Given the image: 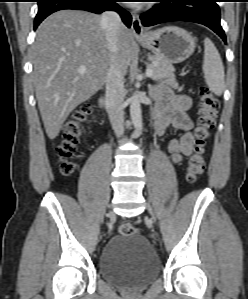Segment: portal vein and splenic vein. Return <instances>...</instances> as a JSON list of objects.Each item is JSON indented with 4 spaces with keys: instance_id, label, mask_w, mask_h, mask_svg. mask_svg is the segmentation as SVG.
I'll return each instance as SVG.
<instances>
[{
    "instance_id": "portal-vein-and-splenic-vein-1",
    "label": "portal vein and splenic vein",
    "mask_w": 248,
    "mask_h": 299,
    "mask_svg": "<svg viewBox=\"0 0 248 299\" xmlns=\"http://www.w3.org/2000/svg\"><path fill=\"white\" fill-rule=\"evenodd\" d=\"M79 71L81 73H83L85 71V67L82 66ZM152 75H153V70L150 67H148L147 70H146V76L151 77Z\"/></svg>"
}]
</instances>
